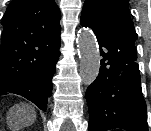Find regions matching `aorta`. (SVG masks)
<instances>
[{
	"instance_id": "762f6f07",
	"label": "aorta",
	"mask_w": 151,
	"mask_h": 131,
	"mask_svg": "<svg viewBox=\"0 0 151 131\" xmlns=\"http://www.w3.org/2000/svg\"><path fill=\"white\" fill-rule=\"evenodd\" d=\"M78 54L80 76L85 85H90L99 73L100 53L96 38L89 29H82L79 33Z\"/></svg>"
}]
</instances>
